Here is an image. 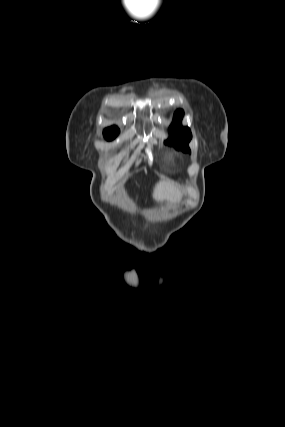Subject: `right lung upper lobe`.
I'll use <instances>...</instances> for the list:
<instances>
[{"mask_svg": "<svg viewBox=\"0 0 285 427\" xmlns=\"http://www.w3.org/2000/svg\"><path fill=\"white\" fill-rule=\"evenodd\" d=\"M119 129L115 126L107 128L104 130V134L118 133Z\"/></svg>", "mask_w": 285, "mask_h": 427, "instance_id": "right-lung-upper-lobe-1", "label": "right lung upper lobe"}]
</instances>
